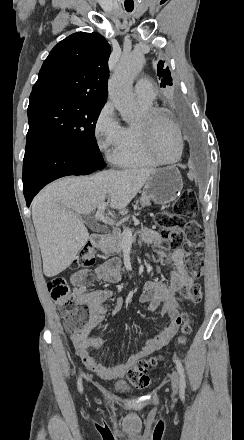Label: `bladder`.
Masks as SVG:
<instances>
[{
  "instance_id": "31cf9c89",
  "label": "bladder",
  "mask_w": 244,
  "mask_h": 440,
  "mask_svg": "<svg viewBox=\"0 0 244 440\" xmlns=\"http://www.w3.org/2000/svg\"><path fill=\"white\" fill-rule=\"evenodd\" d=\"M115 386L123 393H129L130 387L127 382H115Z\"/></svg>"
}]
</instances>
